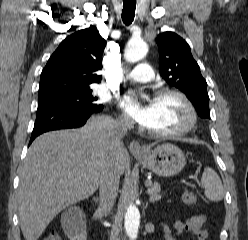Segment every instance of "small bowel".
I'll use <instances>...</instances> for the list:
<instances>
[{
  "mask_svg": "<svg viewBox=\"0 0 248 240\" xmlns=\"http://www.w3.org/2000/svg\"><path fill=\"white\" fill-rule=\"evenodd\" d=\"M206 217L203 214L193 215L187 220L177 221L173 229L162 224V232L166 240H176L177 236L192 234L197 240H206L208 233L204 228Z\"/></svg>",
  "mask_w": 248,
  "mask_h": 240,
  "instance_id": "small-bowel-1",
  "label": "small bowel"
}]
</instances>
